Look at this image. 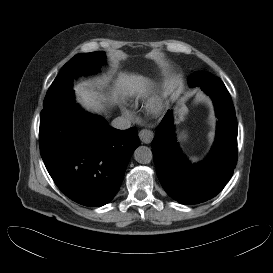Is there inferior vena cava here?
<instances>
[{
  "label": "inferior vena cava",
  "instance_id": "602c4592",
  "mask_svg": "<svg viewBox=\"0 0 273 273\" xmlns=\"http://www.w3.org/2000/svg\"><path fill=\"white\" fill-rule=\"evenodd\" d=\"M112 127L120 130H125L131 127V122L126 117H117L111 122Z\"/></svg>",
  "mask_w": 273,
  "mask_h": 273
}]
</instances>
